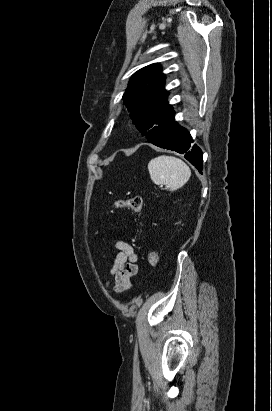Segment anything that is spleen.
<instances>
[{
  "instance_id": "3e777b00",
  "label": "spleen",
  "mask_w": 272,
  "mask_h": 411,
  "mask_svg": "<svg viewBox=\"0 0 272 411\" xmlns=\"http://www.w3.org/2000/svg\"><path fill=\"white\" fill-rule=\"evenodd\" d=\"M148 171L155 184H165L170 191L181 188L191 176V170L185 162L166 155L152 159L148 163Z\"/></svg>"
}]
</instances>
